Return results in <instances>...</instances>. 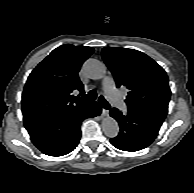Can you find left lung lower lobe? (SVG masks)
<instances>
[{"label":"left lung lower lobe","mask_w":194,"mask_h":193,"mask_svg":"<svg viewBox=\"0 0 194 193\" xmlns=\"http://www.w3.org/2000/svg\"><path fill=\"white\" fill-rule=\"evenodd\" d=\"M110 115L120 126L118 136L110 139V142L123 151L133 152L149 146L157 137L163 123L131 111L124 115L116 108L110 111Z\"/></svg>","instance_id":"obj_1"}]
</instances>
